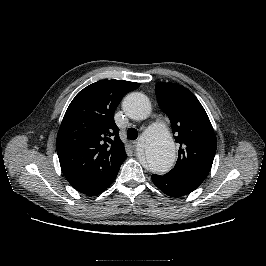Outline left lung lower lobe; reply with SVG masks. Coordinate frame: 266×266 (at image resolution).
Segmentation results:
<instances>
[{
    "label": "left lung lower lobe",
    "instance_id": "0a47b994",
    "mask_svg": "<svg viewBox=\"0 0 266 266\" xmlns=\"http://www.w3.org/2000/svg\"><path fill=\"white\" fill-rule=\"evenodd\" d=\"M152 181L161 191L172 197L184 196L197 188L168 175L161 176L153 174Z\"/></svg>",
    "mask_w": 266,
    "mask_h": 266
}]
</instances>
